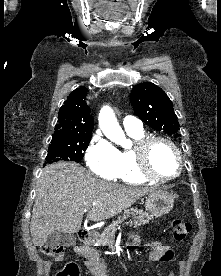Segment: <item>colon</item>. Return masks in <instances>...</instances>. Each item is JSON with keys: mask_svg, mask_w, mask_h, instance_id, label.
Instances as JSON below:
<instances>
[{"mask_svg": "<svg viewBox=\"0 0 221 276\" xmlns=\"http://www.w3.org/2000/svg\"><path fill=\"white\" fill-rule=\"evenodd\" d=\"M191 231V224L175 219L172 222V235L176 241H183ZM42 252L50 257L60 259L63 255V247L57 245H44ZM55 276H79V268L75 263L66 265Z\"/></svg>", "mask_w": 221, "mask_h": 276, "instance_id": "obj_1", "label": "colon"}]
</instances>
